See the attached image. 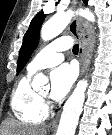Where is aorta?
<instances>
[{
  "instance_id": "obj_1",
  "label": "aorta",
  "mask_w": 112,
  "mask_h": 135,
  "mask_svg": "<svg viewBox=\"0 0 112 135\" xmlns=\"http://www.w3.org/2000/svg\"><path fill=\"white\" fill-rule=\"evenodd\" d=\"M78 14L89 21L93 22L95 20L93 13L88 9H81ZM73 15L74 13L72 11L55 14L42 26L41 38L44 41H48L58 36L67 27ZM47 84L48 78L42 73H39L34 77L33 85L43 86ZM87 85V80H81L66 101L56 135L75 134L76 126L83 110Z\"/></svg>"
}]
</instances>
